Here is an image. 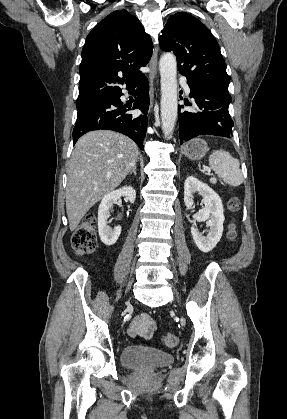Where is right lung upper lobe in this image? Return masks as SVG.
<instances>
[{"instance_id":"right-lung-upper-lobe-1","label":"right lung upper lobe","mask_w":287,"mask_h":419,"mask_svg":"<svg viewBox=\"0 0 287 419\" xmlns=\"http://www.w3.org/2000/svg\"><path fill=\"white\" fill-rule=\"evenodd\" d=\"M153 52L150 36L140 21L126 10L114 11L87 36L80 64L76 106H85L115 96L120 85L137 83Z\"/></svg>"}]
</instances>
